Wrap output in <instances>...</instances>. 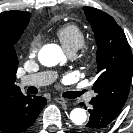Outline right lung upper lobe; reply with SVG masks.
<instances>
[{
    "label": "right lung upper lobe",
    "mask_w": 133,
    "mask_h": 133,
    "mask_svg": "<svg viewBox=\"0 0 133 133\" xmlns=\"http://www.w3.org/2000/svg\"><path fill=\"white\" fill-rule=\"evenodd\" d=\"M31 14L23 11H6L0 13V37L7 38L23 33L27 27ZM17 67L0 69V109L9 98L21 92L15 85Z\"/></svg>",
    "instance_id": "obj_1"
}]
</instances>
